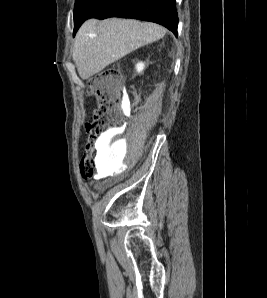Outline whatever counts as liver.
<instances>
[{
	"instance_id": "1",
	"label": "liver",
	"mask_w": 267,
	"mask_h": 298,
	"mask_svg": "<svg viewBox=\"0 0 267 298\" xmlns=\"http://www.w3.org/2000/svg\"><path fill=\"white\" fill-rule=\"evenodd\" d=\"M165 35L155 24L132 19H89L78 30L73 60L79 76L89 79L132 51L153 43Z\"/></svg>"
}]
</instances>
